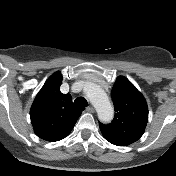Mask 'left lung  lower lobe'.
<instances>
[{
  "mask_svg": "<svg viewBox=\"0 0 176 176\" xmlns=\"http://www.w3.org/2000/svg\"><path fill=\"white\" fill-rule=\"evenodd\" d=\"M110 143H112V142H110ZM112 144H114V143H112ZM114 145H117V144H114ZM117 146H120V145H117Z\"/></svg>",
  "mask_w": 176,
  "mask_h": 176,
  "instance_id": "left-lung-lower-lobe-1",
  "label": "left lung lower lobe"
}]
</instances>
